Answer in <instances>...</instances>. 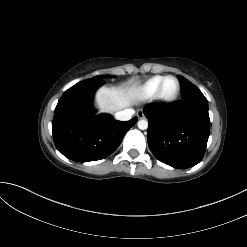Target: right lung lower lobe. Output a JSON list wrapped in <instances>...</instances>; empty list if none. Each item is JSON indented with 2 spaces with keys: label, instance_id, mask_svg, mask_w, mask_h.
<instances>
[{
  "label": "right lung lower lobe",
  "instance_id": "right-lung-lower-lobe-1",
  "mask_svg": "<svg viewBox=\"0 0 247 247\" xmlns=\"http://www.w3.org/2000/svg\"><path fill=\"white\" fill-rule=\"evenodd\" d=\"M104 83L81 81L64 92L55 108L52 122L56 148L78 162L101 160L112 154L126 132L137 122L115 121L110 115H94L92 99Z\"/></svg>",
  "mask_w": 247,
  "mask_h": 247
}]
</instances>
